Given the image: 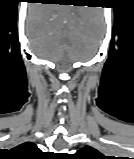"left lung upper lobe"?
<instances>
[{"mask_svg": "<svg viewBox=\"0 0 134 159\" xmlns=\"http://www.w3.org/2000/svg\"><path fill=\"white\" fill-rule=\"evenodd\" d=\"M71 159H107V157L98 152L96 149L90 146H85L72 155Z\"/></svg>", "mask_w": 134, "mask_h": 159, "instance_id": "1", "label": "left lung upper lobe"}]
</instances>
